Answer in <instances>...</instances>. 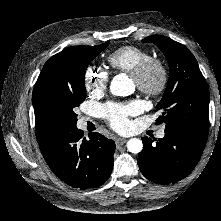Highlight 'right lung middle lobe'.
I'll return each mask as SVG.
<instances>
[{
	"instance_id": "right-lung-middle-lobe-1",
	"label": "right lung middle lobe",
	"mask_w": 221,
	"mask_h": 221,
	"mask_svg": "<svg viewBox=\"0 0 221 221\" xmlns=\"http://www.w3.org/2000/svg\"><path fill=\"white\" fill-rule=\"evenodd\" d=\"M108 44L81 46L76 53L59 61L45 79L42 88L44 96L61 114L62 128L76 126L77 114L74 108L86 98V69Z\"/></svg>"
}]
</instances>
